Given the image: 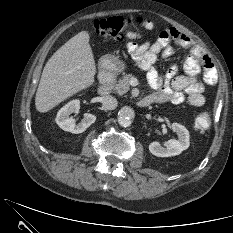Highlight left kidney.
I'll return each mask as SVG.
<instances>
[{
	"label": "left kidney",
	"instance_id": "5707ae66",
	"mask_svg": "<svg viewBox=\"0 0 233 233\" xmlns=\"http://www.w3.org/2000/svg\"><path fill=\"white\" fill-rule=\"evenodd\" d=\"M172 130L178 135V139H170L167 147H162L159 142H152L149 151L157 157H171L181 154L189 145V131L179 123L171 125Z\"/></svg>",
	"mask_w": 233,
	"mask_h": 233
}]
</instances>
